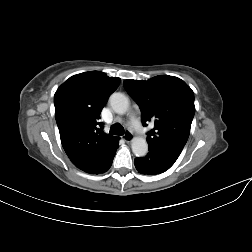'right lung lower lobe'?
<instances>
[{"label":"right lung lower lobe","mask_w":252,"mask_h":252,"mask_svg":"<svg viewBox=\"0 0 252 252\" xmlns=\"http://www.w3.org/2000/svg\"><path fill=\"white\" fill-rule=\"evenodd\" d=\"M118 143H119V140H117L111 147V152H110V159L109 161L107 162L106 166L99 172V173H104L106 171H108V169L111 167L112 165V161H113V158H114V155H115V152L118 148ZM98 173V174H99Z\"/></svg>","instance_id":"obj_1"}]
</instances>
